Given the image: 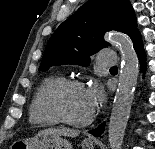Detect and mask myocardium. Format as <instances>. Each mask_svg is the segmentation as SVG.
<instances>
[{"instance_id": "f54148a6", "label": "myocardium", "mask_w": 155, "mask_h": 149, "mask_svg": "<svg viewBox=\"0 0 155 149\" xmlns=\"http://www.w3.org/2000/svg\"><path fill=\"white\" fill-rule=\"evenodd\" d=\"M70 88H84L81 81L76 79H63L56 83L49 91L47 96L48 106L55 117L62 123L74 126L84 127L91 124L94 120V113H92L87 119L82 121H76L67 116L62 106V96L64 92Z\"/></svg>"}]
</instances>
